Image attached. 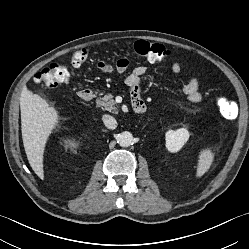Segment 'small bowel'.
I'll return each mask as SVG.
<instances>
[{"mask_svg": "<svg viewBox=\"0 0 249 249\" xmlns=\"http://www.w3.org/2000/svg\"><path fill=\"white\" fill-rule=\"evenodd\" d=\"M129 61L126 58H121L116 63V69L119 73H123L127 70ZM112 66L106 61H101L97 64V70L101 73H107L112 70ZM145 67L138 66L127 76L126 83L131 88L132 99L140 98V81L142 76L145 74ZM171 72L177 76L181 72V65L178 62H174L171 65ZM183 94L187 100L191 103H197L201 101L203 94L199 87L197 78L193 77L190 81L182 88Z\"/></svg>", "mask_w": 249, "mask_h": 249, "instance_id": "small-bowel-1", "label": "small bowel"}]
</instances>
